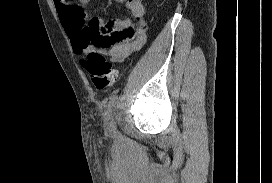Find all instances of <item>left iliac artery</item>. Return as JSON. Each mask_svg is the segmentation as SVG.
Masks as SVG:
<instances>
[{
	"label": "left iliac artery",
	"instance_id": "left-iliac-artery-1",
	"mask_svg": "<svg viewBox=\"0 0 272 183\" xmlns=\"http://www.w3.org/2000/svg\"><path fill=\"white\" fill-rule=\"evenodd\" d=\"M118 101V95L114 94L110 97V100L108 102V107L111 108L113 107Z\"/></svg>",
	"mask_w": 272,
	"mask_h": 183
}]
</instances>
